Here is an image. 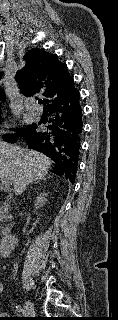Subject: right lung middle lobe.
<instances>
[{"label":"right lung middle lobe","instance_id":"right-lung-middle-lobe-1","mask_svg":"<svg viewBox=\"0 0 118 320\" xmlns=\"http://www.w3.org/2000/svg\"><path fill=\"white\" fill-rule=\"evenodd\" d=\"M36 129V125H31V126H28V130L27 131H20L19 134H15V135H9L8 136V139L9 141H11L12 143H14L17 138L19 137L20 134H25V135H28L30 134L32 131H34Z\"/></svg>","mask_w":118,"mask_h":320}]
</instances>
